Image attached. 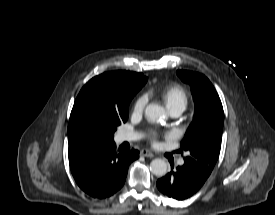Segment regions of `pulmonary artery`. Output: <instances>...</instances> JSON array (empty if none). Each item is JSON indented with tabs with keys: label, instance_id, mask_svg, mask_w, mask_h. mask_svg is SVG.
Returning a JSON list of instances; mask_svg holds the SVG:
<instances>
[{
	"label": "pulmonary artery",
	"instance_id": "1",
	"mask_svg": "<svg viewBox=\"0 0 275 215\" xmlns=\"http://www.w3.org/2000/svg\"><path fill=\"white\" fill-rule=\"evenodd\" d=\"M183 110H184L183 108H174L169 111L172 117H177L183 112ZM137 138H138V135L133 132L123 131L119 134L120 141H133V140H136ZM178 164L183 165L184 160L183 159L178 160Z\"/></svg>",
	"mask_w": 275,
	"mask_h": 215
}]
</instances>
